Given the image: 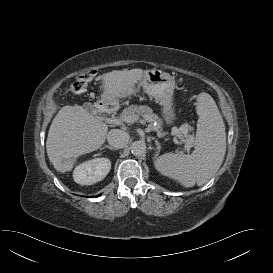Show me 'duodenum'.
Masks as SVG:
<instances>
[{
    "label": "duodenum",
    "instance_id": "1",
    "mask_svg": "<svg viewBox=\"0 0 273 273\" xmlns=\"http://www.w3.org/2000/svg\"><path fill=\"white\" fill-rule=\"evenodd\" d=\"M102 109H103V110H105V109H106V107H105V106H103V107H102Z\"/></svg>",
    "mask_w": 273,
    "mask_h": 273
}]
</instances>
